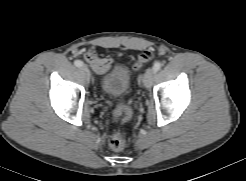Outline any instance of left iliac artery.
Instances as JSON below:
<instances>
[{"mask_svg":"<svg viewBox=\"0 0 246 181\" xmlns=\"http://www.w3.org/2000/svg\"><path fill=\"white\" fill-rule=\"evenodd\" d=\"M161 67H162L161 62H158V61H157V62L154 63L153 69H154L155 71H158V70L161 69Z\"/></svg>","mask_w":246,"mask_h":181,"instance_id":"left-iliac-artery-1","label":"left iliac artery"}]
</instances>
